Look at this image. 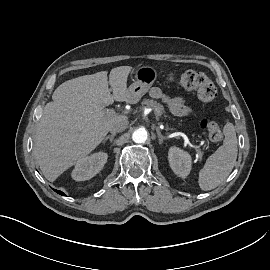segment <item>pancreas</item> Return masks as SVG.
Segmentation results:
<instances>
[{
    "label": "pancreas",
    "instance_id": "1",
    "mask_svg": "<svg viewBox=\"0 0 270 270\" xmlns=\"http://www.w3.org/2000/svg\"><path fill=\"white\" fill-rule=\"evenodd\" d=\"M142 104L152 108L157 117H160L165 113L163 105L152 99H144L142 101Z\"/></svg>",
    "mask_w": 270,
    "mask_h": 270
}]
</instances>
